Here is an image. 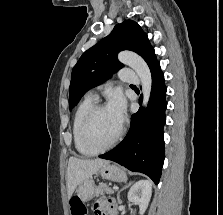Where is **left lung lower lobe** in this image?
<instances>
[{
  "label": "left lung lower lobe",
  "mask_w": 223,
  "mask_h": 215,
  "mask_svg": "<svg viewBox=\"0 0 223 215\" xmlns=\"http://www.w3.org/2000/svg\"><path fill=\"white\" fill-rule=\"evenodd\" d=\"M150 70L152 92L147 108L131 116V126L124 140L99 157L115 161L131 171L142 172L158 184L165 153L163 126L166 122V86L160 63L157 62Z\"/></svg>",
  "instance_id": "1"
}]
</instances>
